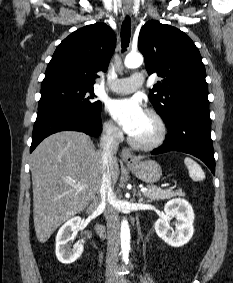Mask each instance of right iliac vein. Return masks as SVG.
I'll use <instances>...</instances> for the list:
<instances>
[{"instance_id":"1","label":"right iliac vein","mask_w":233,"mask_h":283,"mask_svg":"<svg viewBox=\"0 0 233 283\" xmlns=\"http://www.w3.org/2000/svg\"><path fill=\"white\" fill-rule=\"evenodd\" d=\"M115 282V278H114V276L113 275H108L107 277H106V282L105 283H114Z\"/></svg>"}]
</instances>
